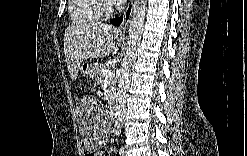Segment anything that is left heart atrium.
<instances>
[{
  "mask_svg": "<svg viewBox=\"0 0 247 156\" xmlns=\"http://www.w3.org/2000/svg\"><path fill=\"white\" fill-rule=\"evenodd\" d=\"M112 4H115V5H122L125 3L124 0H113L111 1Z\"/></svg>",
  "mask_w": 247,
  "mask_h": 156,
  "instance_id": "1",
  "label": "left heart atrium"
}]
</instances>
